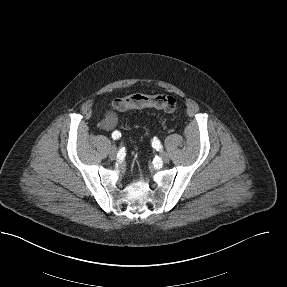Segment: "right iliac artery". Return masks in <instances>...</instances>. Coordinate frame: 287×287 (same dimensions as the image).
Masks as SVG:
<instances>
[{"label":"right iliac artery","mask_w":287,"mask_h":287,"mask_svg":"<svg viewBox=\"0 0 287 287\" xmlns=\"http://www.w3.org/2000/svg\"><path fill=\"white\" fill-rule=\"evenodd\" d=\"M120 136H121V134L118 131H115V132L112 133V138L113 139H118Z\"/></svg>","instance_id":"right-iliac-artery-1"}]
</instances>
